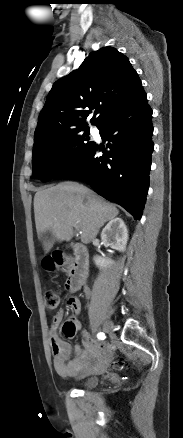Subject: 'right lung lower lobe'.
Returning a JSON list of instances; mask_svg holds the SVG:
<instances>
[{
  "mask_svg": "<svg viewBox=\"0 0 183 438\" xmlns=\"http://www.w3.org/2000/svg\"><path fill=\"white\" fill-rule=\"evenodd\" d=\"M152 109L146 93L111 113L98 126L107 150L93 142L55 178L76 177L96 193L140 219L149 188L154 144ZM102 156H98L99 152Z\"/></svg>",
  "mask_w": 183,
  "mask_h": 438,
  "instance_id": "1",
  "label": "right lung lower lobe"
}]
</instances>
